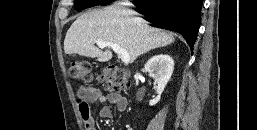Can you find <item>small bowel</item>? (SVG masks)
Returning <instances> with one entry per match:
<instances>
[{
	"instance_id": "obj_1",
	"label": "small bowel",
	"mask_w": 257,
	"mask_h": 130,
	"mask_svg": "<svg viewBox=\"0 0 257 130\" xmlns=\"http://www.w3.org/2000/svg\"><path fill=\"white\" fill-rule=\"evenodd\" d=\"M111 103L116 111L124 112L127 108V100L118 93L104 94L99 88L93 86H83L77 93V105L83 120L85 130H96L95 120L91 115L89 103ZM101 118H112L113 110L109 106L100 109Z\"/></svg>"
}]
</instances>
